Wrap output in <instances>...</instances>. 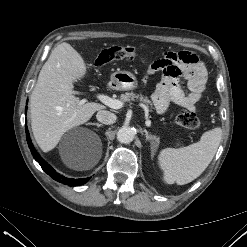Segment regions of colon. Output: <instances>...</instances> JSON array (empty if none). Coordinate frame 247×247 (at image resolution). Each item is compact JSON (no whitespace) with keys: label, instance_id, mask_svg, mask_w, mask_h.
<instances>
[{"label":"colon","instance_id":"colon-1","mask_svg":"<svg viewBox=\"0 0 247 247\" xmlns=\"http://www.w3.org/2000/svg\"><path fill=\"white\" fill-rule=\"evenodd\" d=\"M139 51L133 47L113 46L100 52L96 59L99 66L105 65L113 60L123 58H134L138 56ZM175 122L186 129L195 130L200 127V120L194 111H183L176 115Z\"/></svg>","mask_w":247,"mask_h":247}]
</instances>
